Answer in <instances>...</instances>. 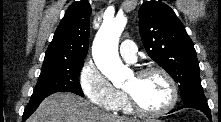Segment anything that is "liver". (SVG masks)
I'll list each match as a JSON object with an SVG mask.
<instances>
[{"label":"liver","instance_id":"1","mask_svg":"<svg viewBox=\"0 0 221 122\" xmlns=\"http://www.w3.org/2000/svg\"><path fill=\"white\" fill-rule=\"evenodd\" d=\"M27 122H138L114 116L72 93H54L45 98Z\"/></svg>","mask_w":221,"mask_h":122}]
</instances>
